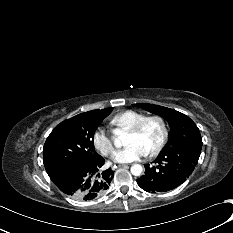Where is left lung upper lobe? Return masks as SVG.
Masks as SVG:
<instances>
[{
    "mask_svg": "<svg viewBox=\"0 0 233 233\" xmlns=\"http://www.w3.org/2000/svg\"><path fill=\"white\" fill-rule=\"evenodd\" d=\"M133 106L159 115L169 123L171 138L162 152H187L200 156L201 135L196 124L188 116L176 110L153 104H134Z\"/></svg>",
    "mask_w": 233,
    "mask_h": 233,
    "instance_id": "left-lung-upper-lobe-1",
    "label": "left lung upper lobe"
}]
</instances>
